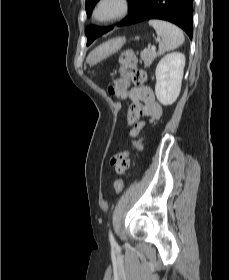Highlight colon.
<instances>
[{
  "mask_svg": "<svg viewBox=\"0 0 229 280\" xmlns=\"http://www.w3.org/2000/svg\"><path fill=\"white\" fill-rule=\"evenodd\" d=\"M119 62L120 80L117 83L118 90L133 82L135 84H144L147 81V76L144 71L137 68L136 55L133 50H124L120 53ZM142 138L137 140L134 144L137 149H141ZM111 164L116 167L117 171H122L126 165V161L121 153L113 155ZM124 181L119 178L114 182V188L117 192L123 189Z\"/></svg>",
  "mask_w": 229,
  "mask_h": 280,
  "instance_id": "5ec220e1",
  "label": "colon"
}]
</instances>
